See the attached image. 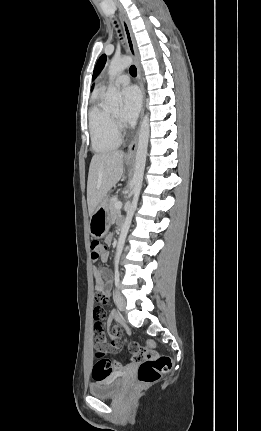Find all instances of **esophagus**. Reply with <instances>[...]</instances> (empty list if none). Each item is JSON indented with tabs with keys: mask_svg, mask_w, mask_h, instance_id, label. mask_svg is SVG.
I'll list each match as a JSON object with an SVG mask.
<instances>
[{
	"mask_svg": "<svg viewBox=\"0 0 261 431\" xmlns=\"http://www.w3.org/2000/svg\"><path fill=\"white\" fill-rule=\"evenodd\" d=\"M119 17H120V21L124 30V34H125V39H126V43H127V47L129 50L130 55L133 57L134 61H135V65L137 68V78H138V84L140 86V90H141V97H142V112H141V118L144 112V86H143V82H142V76H141V68H140V62H139V54H138V49H137V45L135 42V38H134V34L132 32L130 23L126 17V15L122 12H119ZM141 123V122H140ZM139 129H140V125L138 127V130L133 138V140L131 141V143L128 146V150H127V156H132L134 155L136 148H137V142H138V135H139Z\"/></svg>",
	"mask_w": 261,
	"mask_h": 431,
	"instance_id": "esophagus-1",
	"label": "esophagus"
}]
</instances>
